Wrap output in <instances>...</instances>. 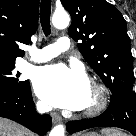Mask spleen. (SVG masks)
I'll list each match as a JSON object with an SVG mask.
<instances>
[{"label": "spleen", "instance_id": "spleen-1", "mask_svg": "<svg viewBox=\"0 0 136 136\" xmlns=\"http://www.w3.org/2000/svg\"><path fill=\"white\" fill-rule=\"evenodd\" d=\"M102 133L104 136H126L122 132L113 129H103Z\"/></svg>", "mask_w": 136, "mask_h": 136}]
</instances>
